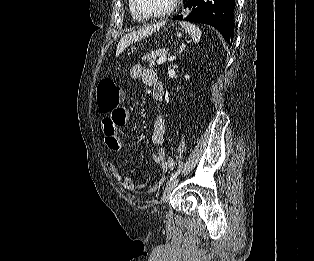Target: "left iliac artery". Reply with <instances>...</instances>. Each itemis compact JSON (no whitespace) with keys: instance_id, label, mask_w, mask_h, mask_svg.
I'll list each match as a JSON object with an SVG mask.
<instances>
[{"instance_id":"left-iliac-artery-1","label":"left iliac artery","mask_w":314,"mask_h":261,"mask_svg":"<svg viewBox=\"0 0 314 261\" xmlns=\"http://www.w3.org/2000/svg\"><path fill=\"white\" fill-rule=\"evenodd\" d=\"M181 168L180 169H178L175 173H173L172 175H171V177H170V181H172L173 179H175L179 174H180V172H181Z\"/></svg>"}]
</instances>
